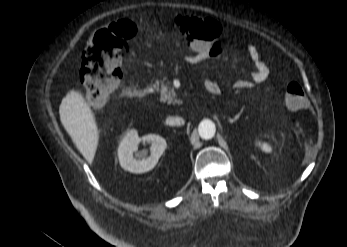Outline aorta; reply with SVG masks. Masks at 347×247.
I'll return each mask as SVG.
<instances>
[{"mask_svg": "<svg viewBox=\"0 0 347 247\" xmlns=\"http://www.w3.org/2000/svg\"><path fill=\"white\" fill-rule=\"evenodd\" d=\"M215 131V124L211 120H203L199 125V134L203 139L213 138Z\"/></svg>", "mask_w": 347, "mask_h": 247, "instance_id": "aorta-1", "label": "aorta"}]
</instances>
